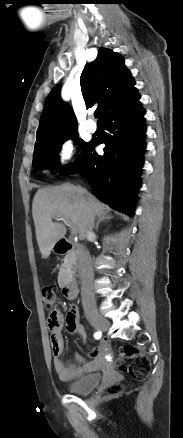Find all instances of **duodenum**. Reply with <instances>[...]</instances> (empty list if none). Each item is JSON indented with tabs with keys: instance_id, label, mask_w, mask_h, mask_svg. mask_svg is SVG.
Segmentation results:
<instances>
[{
	"instance_id": "obj_1",
	"label": "duodenum",
	"mask_w": 183,
	"mask_h": 438,
	"mask_svg": "<svg viewBox=\"0 0 183 438\" xmlns=\"http://www.w3.org/2000/svg\"><path fill=\"white\" fill-rule=\"evenodd\" d=\"M55 249L59 255L72 254V257L75 258L80 246L69 239L62 238L56 242ZM62 290L68 299H76L77 287L72 278L63 283Z\"/></svg>"
}]
</instances>
